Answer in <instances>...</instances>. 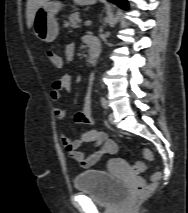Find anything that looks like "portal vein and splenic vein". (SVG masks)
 <instances>
[{
	"label": "portal vein and splenic vein",
	"instance_id": "1",
	"mask_svg": "<svg viewBox=\"0 0 188 213\" xmlns=\"http://www.w3.org/2000/svg\"><path fill=\"white\" fill-rule=\"evenodd\" d=\"M85 26H90L91 25V21L90 20H87V21H85Z\"/></svg>",
	"mask_w": 188,
	"mask_h": 213
}]
</instances>
